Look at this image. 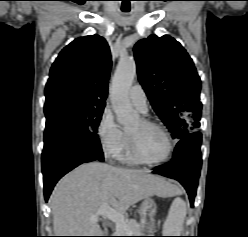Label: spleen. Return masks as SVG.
Listing matches in <instances>:
<instances>
[{
    "mask_svg": "<svg viewBox=\"0 0 248 237\" xmlns=\"http://www.w3.org/2000/svg\"><path fill=\"white\" fill-rule=\"evenodd\" d=\"M187 207L184 200L177 197L172 202L163 226L165 236H180L186 217Z\"/></svg>",
    "mask_w": 248,
    "mask_h": 237,
    "instance_id": "obj_1",
    "label": "spleen"
}]
</instances>
